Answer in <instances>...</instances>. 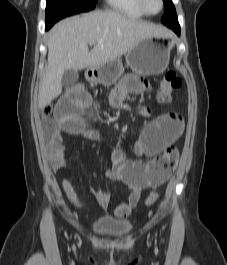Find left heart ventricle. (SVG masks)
Segmentation results:
<instances>
[{"instance_id": "obj_1", "label": "left heart ventricle", "mask_w": 227, "mask_h": 265, "mask_svg": "<svg viewBox=\"0 0 227 265\" xmlns=\"http://www.w3.org/2000/svg\"><path fill=\"white\" fill-rule=\"evenodd\" d=\"M158 0H146V7L150 12H156L159 9Z\"/></svg>"}]
</instances>
